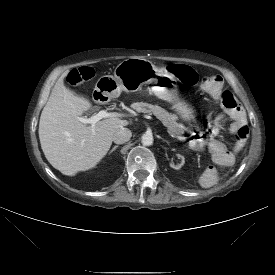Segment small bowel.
I'll use <instances>...</instances> for the list:
<instances>
[{"label":"small bowel","mask_w":275,"mask_h":275,"mask_svg":"<svg viewBox=\"0 0 275 275\" xmlns=\"http://www.w3.org/2000/svg\"><path fill=\"white\" fill-rule=\"evenodd\" d=\"M206 93L217 102L220 99L222 92V78L220 76H214L205 87ZM231 123L229 126V132L236 134L239 129L247 127V119L245 112L239 104L228 111ZM216 137V132L209 129L203 133H198L193 136L191 145L194 150L203 152L208 150L211 160L206 162L205 168L199 175V180L202 185L211 187L219 182L221 176L225 175L228 166L232 165L235 161L234 154L227 151L226 145L223 140Z\"/></svg>","instance_id":"small-bowel-1"}]
</instances>
